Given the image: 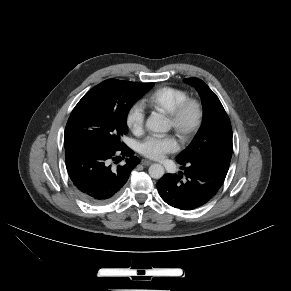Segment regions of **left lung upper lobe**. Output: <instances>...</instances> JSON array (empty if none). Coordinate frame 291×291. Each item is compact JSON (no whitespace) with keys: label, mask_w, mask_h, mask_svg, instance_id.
<instances>
[{"label":"left lung upper lobe","mask_w":291,"mask_h":291,"mask_svg":"<svg viewBox=\"0 0 291 291\" xmlns=\"http://www.w3.org/2000/svg\"><path fill=\"white\" fill-rule=\"evenodd\" d=\"M184 81L195 86L203 105L202 124L189 146L177 157L179 164L194 160H212L226 165L232 156V128L220 100L198 78H187Z\"/></svg>","instance_id":"left-lung-upper-lobe-1"}]
</instances>
